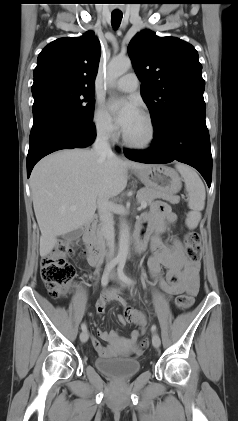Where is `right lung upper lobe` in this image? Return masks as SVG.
Returning <instances> with one entry per match:
<instances>
[{
    "label": "right lung upper lobe",
    "instance_id": "obj_1",
    "mask_svg": "<svg viewBox=\"0 0 238 421\" xmlns=\"http://www.w3.org/2000/svg\"><path fill=\"white\" fill-rule=\"evenodd\" d=\"M100 54V42L91 31L81 37L57 39L40 52L33 86L59 82L94 90Z\"/></svg>",
    "mask_w": 238,
    "mask_h": 421
}]
</instances>
